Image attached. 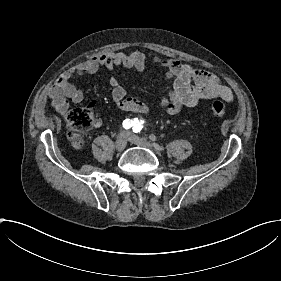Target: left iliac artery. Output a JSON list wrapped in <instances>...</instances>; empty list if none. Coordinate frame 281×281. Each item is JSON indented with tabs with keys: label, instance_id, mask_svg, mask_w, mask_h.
Returning a JSON list of instances; mask_svg holds the SVG:
<instances>
[{
	"label": "left iliac artery",
	"instance_id": "44dca946",
	"mask_svg": "<svg viewBox=\"0 0 281 281\" xmlns=\"http://www.w3.org/2000/svg\"><path fill=\"white\" fill-rule=\"evenodd\" d=\"M142 121L138 120V118H134V121H133V132L135 133H138L141 131V129L143 128V125H142Z\"/></svg>",
	"mask_w": 281,
	"mask_h": 281
}]
</instances>
